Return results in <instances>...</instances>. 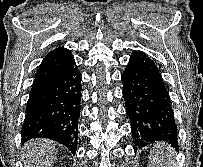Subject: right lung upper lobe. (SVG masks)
<instances>
[{
	"label": "right lung upper lobe",
	"instance_id": "1",
	"mask_svg": "<svg viewBox=\"0 0 203 167\" xmlns=\"http://www.w3.org/2000/svg\"><path fill=\"white\" fill-rule=\"evenodd\" d=\"M72 60L73 57L70 55L69 50L62 47L56 48L47 54L38 69L32 87L38 86L46 80L54 77Z\"/></svg>",
	"mask_w": 203,
	"mask_h": 167
}]
</instances>
